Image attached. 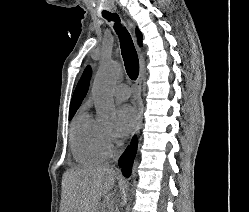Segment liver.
Here are the masks:
<instances>
[{"label": "liver", "mask_w": 249, "mask_h": 212, "mask_svg": "<svg viewBox=\"0 0 249 212\" xmlns=\"http://www.w3.org/2000/svg\"><path fill=\"white\" fill-rule=\"evenodd\" d=\"M117 172L109 166H81L64 174L67 212H98L101 198L114 188Z\"/></svg>", "instance_id": "6515ba94"}]
</instances>
